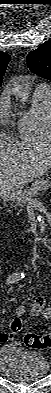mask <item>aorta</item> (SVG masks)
Wrapping results in <instances>:
<instances>
[{"label":"aorta","instance_id":"1","mask_svg":"<svg viewBox=\"0 0 51 393\" xmlns=\"http://www.w3.org/2000/svg\"><path fill=\"white\" fill-rule=\"evenodd\" d=\"M13 94L20 99L21 102H26L29 97V88L26 84L20 83L18 81H13L12 83Z\"/></svg>","mask_w":51,"mask_h":393}]
</instances>
